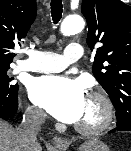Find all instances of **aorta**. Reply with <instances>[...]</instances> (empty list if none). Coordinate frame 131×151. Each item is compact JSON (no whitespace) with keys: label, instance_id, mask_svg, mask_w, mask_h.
Returning a JSON list of instances; mask_svg holds the SVG:
<instances>
[{"label":"aorta","instance_id":"762f6f07","mask_svg":"<svg viewBox=\"0 0 131 151\" xmlns=\"http://www.w3.org/2000/svg\"><path fill=\"white\" fill-rule=\"evenodd\" d=\"M84 26L85 23L81 16L70 15L63 20L60 31L63 35L69 36L82 31Z\"/></svg>","mask_w":131,"mask_h":151}]
</instances>
